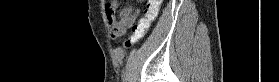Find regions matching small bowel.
<instances>
[{
  "instance_id": "c3829d8e",
  "label": "small bowel",
  "mask_w": 279,
  "mask_h": 82,
  "mask_svg": "<svg viewBox=\"0 0 279 82\" xmlns=\"http://www.w3.org/2000/svg\"><path fill=\"white\" fill-rule=\"evenodd\" d=\"M118 2L112 1L106 4V15L110 22L113 36H119L125 33L127 28L132 27L139 15L138 7L127 6L123 8L119 17L117 15Z\"/></svg>"
}]
</instances>
